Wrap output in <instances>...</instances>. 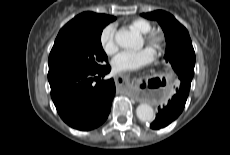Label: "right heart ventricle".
<instances>
[{
  "label": "right heart ventricle",
  "mask_w": 230,
  "mask_h": 155,
  "mask_svg": "<svg viewBox=\"0 0 230 155\" xmlns=\"http://www.w3.org/2000/svg\"><path fill=\"white\" fill-rule=\"evenodd\" d=\"M129 26L140 34H144L152 29L150 21L144 18H134L129 22Z\"/></svg>",
  "instance_id": "obj_1"
}]
</instances>
